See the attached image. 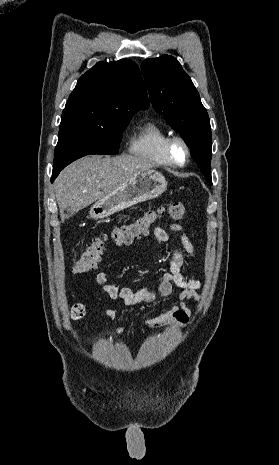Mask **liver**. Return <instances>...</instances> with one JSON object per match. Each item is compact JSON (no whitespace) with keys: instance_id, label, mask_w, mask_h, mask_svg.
Returning a JSON list of instances; mask_svg holds the SVG:
<instances>
[{"instance_id":"obj_1","label":"liver","mask_w":279,"mask_h":465,"mask_svg":"<svg viewBox=\"0 0 279 465\" xmlns=\"http://www.w3.org/2000/svg\"><path fill=\"white\" fill-rule=\"evenodd\" d=\"M152 166L146 158L126 154L91 155L73 162L54 182L61 221L112 193L134 175L150 171Z\"/></svg>"}]
</instances>
